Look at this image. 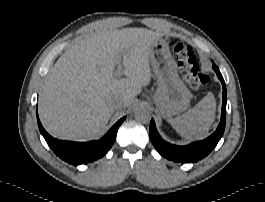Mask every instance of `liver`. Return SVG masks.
Masks as SVG:
<instances>
[{
	"label": "liver",
	"instance_id": "obj_1",
	"mask_svg": "<svg viewBox=\"0 0 265 202\" xmlns=\"http://www.w3.org/2000/svg\"><path fill=\"white\" fill-rule=\"evenodd\" d=\"M162 36L145 28H98L78 38L50 69L39 96V117L56 138L86 141L100 136L114 112L108 100L118 95L123 107L151 80L149 48ZM122 57L123 74L114 69Z\"/></svg>",
	"mask_w": 265,
	"mask_h": 202
}]
</instances>
